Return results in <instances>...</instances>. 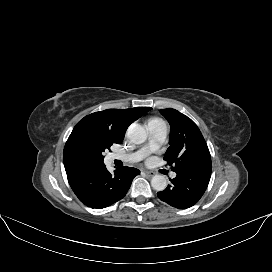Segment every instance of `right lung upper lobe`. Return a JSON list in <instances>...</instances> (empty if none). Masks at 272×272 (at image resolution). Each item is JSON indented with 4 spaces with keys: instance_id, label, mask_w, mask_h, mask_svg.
<instances>
[{
    "instance_id": "1",
    "label": "right lung upper lobe",
    "mask_w": 272,
    "mask_h": 272,
    "mask_svg": "<svg viewBox=\"0 0 272 272\" xmlns=\"http://www.w3.org/2000/svg\"><path fill=\"white\" fill-rule=\"evenodd\" d=\"M150 110L151 107H136L131 109H107L95 112L80 120L70 135L80 128H89L107 134L115 141L121 143L128 126ZM63 162L66 172L79 168L92 167L72 155L69 149V140H67L64 147Z\"/></svg>"
}]
</instances>
